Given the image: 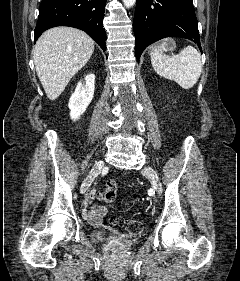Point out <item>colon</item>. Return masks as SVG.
Returning <instances> with one entry per match:
<instances>
[{"instance_id":"1","label":"colon","mask_w":240,"mask_h":281,"mask_svg":"<svg viewBox=\"0 0 240 281\" xmlns=\"http://www.w3.org/2000/svg\"><path fill=\"white\" fill-rule=\"evenodd\" d=\"M117 197V183L111 179L107 182L103 191V201L106 204H113ZM115 223L125 228L128 233L138 234L142 231V223L138 220H125L123 218L115 219Z\"/></svg>"}]
</instances>
